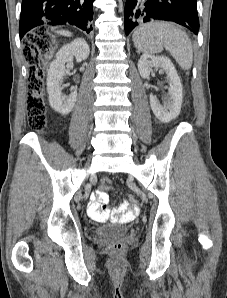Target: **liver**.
<instances>
[{"label": "liver", "instance_id": "1", "mask_svg": "<svg viewBox=\"0 0 227 298\" xmlns=\"http://www.w3.org/2000/svg\"><path fill=\"white\" fill-rule=\"evenodd\" d=\"M58 33L64 36H71V33L68 31H58Z\"/></svg>", "mask_w": 227, "mask_h": 298}]
</instances>
